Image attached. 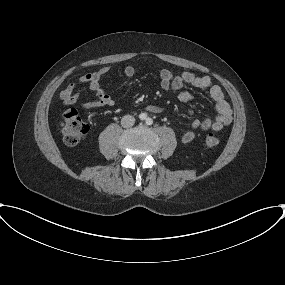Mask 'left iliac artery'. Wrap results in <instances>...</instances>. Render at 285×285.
Wrapping results in <instances>:
<instances>
[{"label": "left iliac artery", "instance_id": "left-iliac-artery-1", "mask_svg": "<svg viewBox=\"0 0 285 285\" xmlns=\"http://www.w3.org/2000/svg\"><path fill=\"white\" fill-rule=\"evenodd\" d=\"M147 125H151L153 123V120L151 118H148L146 120Z\"/></svg>", "mask_w": 285, "mask_h": 285}]
</instances>
